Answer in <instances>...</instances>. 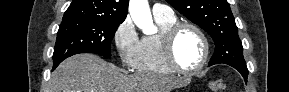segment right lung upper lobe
Listing matches in <instances>:
<instances>
[{
  "label": "right lung upper lobe",
  "mask_w": 289,
  "mask_h": 92,
  "mask_svg": "<svg viewBox=\"0 0 289 92\" xmlns=\"http://www.w3.org/2000/svg\"><path fill=\"white\" fill-rule=\"evenodd\" d=\"M129 0H73L63 20H93L123 22Z\"/></svg>",
  "instance_id": "1"
}]
</instances>
